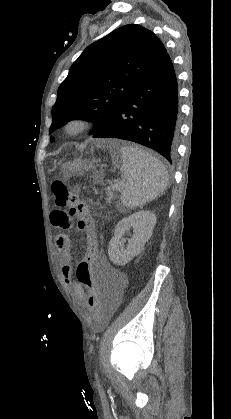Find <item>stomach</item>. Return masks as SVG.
<instances>
[{"label": "stomach", "instance_id": "1", "mask_svg": "<svg viewBox=\"0 0 231 419\" xmlns=\"http://www.w3.org/2000/svg\"><path fill=\"white\" fill-rule=\"evenodd\" d=\"M69 171H71L74 174H79L80 172H82L84 169L88 168V166L86 165L85 162H83L82 160H76L73 163L69 164V166L67 167Z\"/></svg>", "mask_w": 231, "mask_h": 419}]
</instances>
